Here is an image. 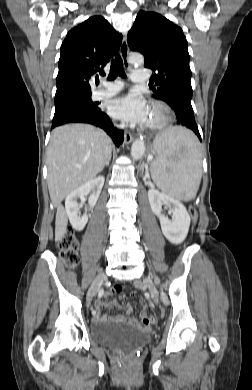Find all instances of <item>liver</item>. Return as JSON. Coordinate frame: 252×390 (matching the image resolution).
<instances>
[{
    "label": "liver",
    "mask_w": 252,
    "mask_h": 390,
    "mask_svg": "<svg viewBox=\"0 0 252 390\" xmlns=\"http://www.w3.org/2000/svg\"><path fill=\"white\" fill-rule=\"evenodd\" d=\"M112 152V140L101 129L88 124L55 128L47 149L48 189L57 207L55 241L64 237L68 219L62 200L81 185L93 180Z\"/></svg>",
    "instance_id": "6515ba94"
}]
</instances>
